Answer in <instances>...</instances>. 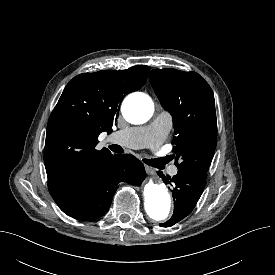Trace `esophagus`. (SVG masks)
<instances>
[{
    "label": "esophagus",
    "instance_id": "34e87169",
    "mask_svg": "<svg viewBox=\"0 0 275 275\" xmlns=\"http://www.w3.org/2000/svg\"><path fill=\"white\" fill-rule=\"evenodd\" d=\"M145 170L149 175H153L155 173V169L149 166H145Z\"/></svg>",
    "mask_w": 275,
    "mask_h": 275
}]
</instances>
